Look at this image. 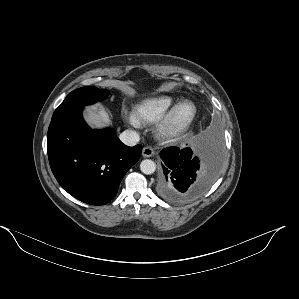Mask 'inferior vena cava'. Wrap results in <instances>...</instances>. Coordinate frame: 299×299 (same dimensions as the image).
Returning <instances> with one entry per match:
<instances>
[{"mask_svg": "<svg viewBox=\"0 0 299 299\" xmlns=\"http://www.w3.org/2000/svg\"><path fill=\"white\" fill-rule=\"evenodd\" d=\"M119 139L127 146H134L139 142L140 137L136 131L128 129L120 134Z\"/></svg>", "mask_w": 299, "mask_h": 299, "instance_id": "602c4592", "label": "inferior vena cava"}]
</instances>
